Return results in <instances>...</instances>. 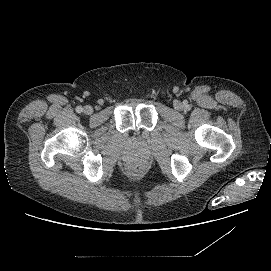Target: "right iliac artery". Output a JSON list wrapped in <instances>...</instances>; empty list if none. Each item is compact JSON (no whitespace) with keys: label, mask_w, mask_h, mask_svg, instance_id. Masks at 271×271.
I'll list each match as a JSON object with an SVG mask.
<instances>
[{"label":"right iliac artery","mask_w":271,"mask_h":271,"mask_svg":"<svg viewBox=\"0 0 271 271\" xmlns=\"http://www.w3.org/2000/svg\"><path fill=\"white\" fill-rule=\"evenodd\" d=\"M83 111V108L81 106H78L76 108V112L81 113Z\"/></svg>","instance_id":"right-iliac-artery-1"}]
</instances>
